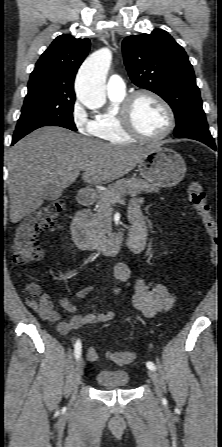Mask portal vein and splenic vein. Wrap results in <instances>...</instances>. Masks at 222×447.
<instances>
[{"mask_svg": "<svg viewBox=\"0 0 222 447\" xmlns=\"http://www.w3.org/2000/svg\"><path fill=\"white\" fill-rule=\"evenodd\" d=\"M117 202H123V200H121V198L114 200V203H117Z\"/></svg>", "mask_w": 222, "mask_h": 447, "instance_id": "1", "label": "portal vein and splenic vein"}]
</instances>
